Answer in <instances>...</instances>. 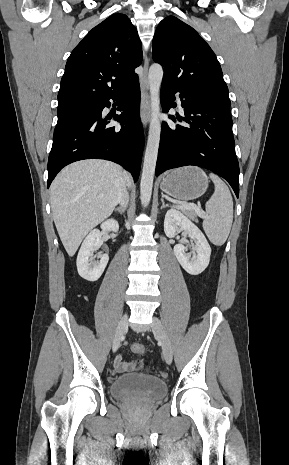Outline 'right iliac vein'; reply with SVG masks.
<instances>
[{
  "label": "right iliac vein",
  "instance_id": "1",
  "mask_svg": "<svg viewBox=\"0 0 289 465\" xmlns=\"http://www.w3.org/2000/svg\"><path fill=\"white\" fill-rule=\"evenodd\" d=\"M127 328H128V315L125 314L122 319L120 320L119 324H118V327H117V330H116V333H115V336H114V340H113V351H116L119 346H120V342L121 340L123 339L126 331H127Z\"/></svg>",
  "mask_w": 289,
  "mask_h": 465
}]
</instances>
